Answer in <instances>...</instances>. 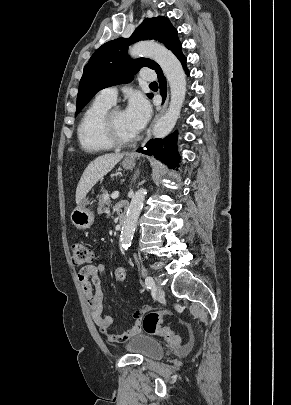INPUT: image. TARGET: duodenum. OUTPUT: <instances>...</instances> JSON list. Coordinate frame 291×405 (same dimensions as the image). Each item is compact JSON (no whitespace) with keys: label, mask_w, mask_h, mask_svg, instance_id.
Returning <instances> with one entry per match:
<instances>
[{"label":"duodenum","mask_w":291,"mask_h":405,"mask_svg":"<svg viewBox=\"0 0 291 405\" xmlns=\"http://www.w3.org/2000/svg\"><path fill=\"white\" fill-rule=\"evenodd\" d=\"M126 211H127V206L122 205L119 209V221L120 223H123L126 219Z\"/></svg>","instance_id":"410a0bca"}]
</instances>
